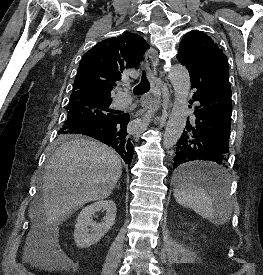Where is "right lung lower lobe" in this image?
Returning <instances> with one entry per match:
<instances>
[{
  "instance_id": "1",
  "label": "right lung lower lobe",
  "mask_w": 263,
  "mask_h": 275,
  "mask_svg": "<svg viewBox=\"0 0 263 275\" xmlns=\"http://www.w3.org/2000/svg\"><path fill=\"white\" fill-rule=\"evenodd\" d=\"M130 120L128 114L114 115L101 121H91L75 125L66 131L67 134H81L93 137L114 148L130 166L133 158V145L126 132Z\"/></svg>"
}]
</instances>
